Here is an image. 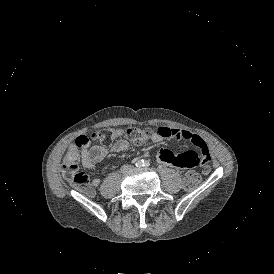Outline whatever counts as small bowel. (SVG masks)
Segmentation results:
<instances>
[{"mask_svg": "<svg viewBox=\"0 0 274 274\" xmlns=\"http://www.w3.org/2000/svg\"><path fill=\"white\" fill-rule=\"evenodd\" d=\"M176 138L179 140L190 141L196 147L178 146L175 150L162 149L159 154L160 161L168 167H177L179 173L193 171L198 164L203 163L201 171L208 173L214 168V163L210 161L211 155L206 142L198 135L187 130H177L169 127H159L152 133L151 140L155 144L161 143L164 139ZM129 143L127 140L117 137L111 147L113 152H122L127 150ZM107 155V149L102 145H94L88 147V144L81 146V162L87 169L95 168L96 164L102 161ZM100 183L99 179L92 181V186H97Z\"/></svg>", "mask_w": 274, "mask_h": 274, "instance_id": "small-bowel-1", "label": "small bowel"}]
</instances>
